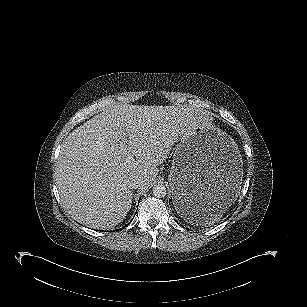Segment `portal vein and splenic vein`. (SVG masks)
Masks as SVG:
<instances>
[{
	"mask_svg": "<svg viewBox=\"0 0 307 307\" xmlns=\"http://www.w3.org/2000/svg\"><path fill=\"white\" fill-rule=\"evenodd\" d=\"M127 160H128V161H133L134 158H133L132 156H129V157L127 158Z\"/></svg>",
	"mask_w": 307,
	"mask_h": 307,
	"instance_id": "obj_1",
	"label": "portal vein and splenic vein"
}]
</instances>
